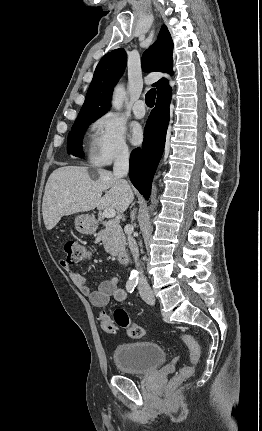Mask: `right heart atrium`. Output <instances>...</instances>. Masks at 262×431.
Masks as SVG:
<instances>
[{
  "label": "right heart atrium",
  "instance_id": "1",
  "mask_svg": "<svg viewBox=\"0 0 262 431\" xmlns=\"http://www.w3.org/2000/svg\"><path fill=\"white\" fill-rule=\"evenodd\" d=\"M90 159L97 165H108L115 159L127 158L130 153L125 129L119 119L106 113L91 127Z\"/></svg>",
  "mask_w": 262,
  "mask_h": 431
}]
</instances>
